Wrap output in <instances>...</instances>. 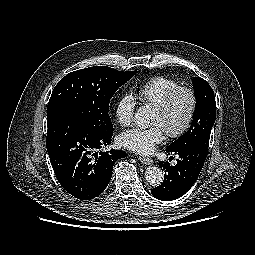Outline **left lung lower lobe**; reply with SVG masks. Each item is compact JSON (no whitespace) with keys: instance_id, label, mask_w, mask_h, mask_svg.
<instances>
[{"instance_id":"1","label":"left lung lower lobe","mask_w":255,"mask_h":255,"mask_svg":"<svg viewBox=\"0 0 255 255\" xmlns=\"http://www.w3.org/2000/svg\"><path fill=\"white\" fill-rule=\"evenodd\" d=\"M179 159L171 166L169 162H160L163 168L164 181L151 190L152 195L162 201H171L184 195L197 180L207 157L208 148L193 145L176 151Z\"/></svg>"}]
</instances>
